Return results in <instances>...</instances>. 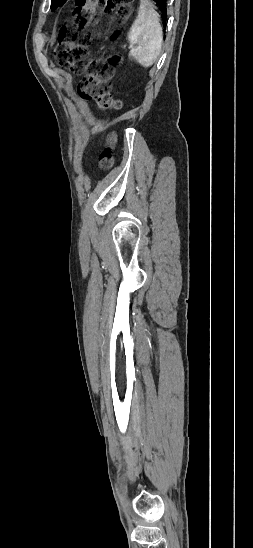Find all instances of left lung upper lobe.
<instances>
[{
	"label": "left lung upper lobe",
	"instance_id": "obj_1",
	"mask_svg": "<svg viewBox=\"0 0 253 548\" xmlns=\"http://www.w3.org/2000/svg\"><path fill=\"white\" fill-rule=\"evenodd\" d=\"M61 0H52L51 1V8L52 7H55L56 5H58V3L60 2Z\"/></svg>",
	"mask_w": 253,
	"mask_h": 548
}]
</instances>
